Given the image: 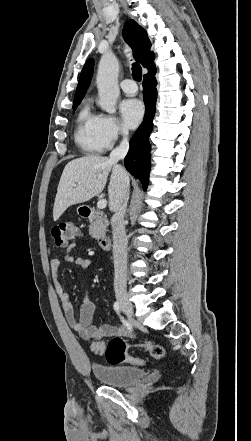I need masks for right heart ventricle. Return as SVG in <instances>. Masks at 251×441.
<instances>
[{"instance_id":"obj_1","label":"right heart ventricle","mask_w":251,"mask_h":441,"mask_svg":"<svg viewBox=\"0 0 251 441\" xmlns=\"http://www.w3.org/2000/svg\"><path fill=\"white\" fill-rule=\"evenodd\" d=\"M98 121L99 115L94 114L88 105H84L77 116L74 139L88 154L101 153L107 148L99 135Z\"/></svg>"}]
</instances>
